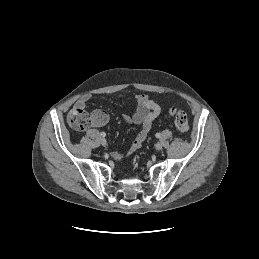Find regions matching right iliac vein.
Listing matches in <instances>:
<instances>
[{"mask_svg":"<svg viewBox=\"0 0 259 259\" xmlns=\"http://www.w3.org/2000/svg\"><path fill=\"white\" fill-rule=\"evenodd\" d=\"M100 142H101V144H102L103 146H106V145H107V141H106L105 138H101Z\"/></svg>","mask_w":259,"mask_h":259,"instance_id":"63e3f726","label":"right iliac vein"}]
</instances>
